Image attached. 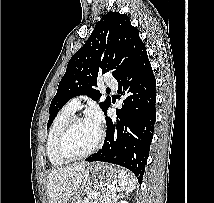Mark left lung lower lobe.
I'll return each instance as SVG.
<instances>
[{"label": "left lung lower lobe", "instance_id": "1", "mask_svg": "<svg viewBox=\"0 0 214 203\" xmlns=\"http://www.w3.org/2000/svg\"><path fill=\"white\" fill-rule=\"evenodd\" d=\"M123 108L117 118L106 115L107 132L102 148L86 161L118 164L131 170L141 183L156 121V80L146 48L138 53L128 70L117 79Z\"/></svg>", "mask_w": 214, "mask_h": 203}]
</instances>
